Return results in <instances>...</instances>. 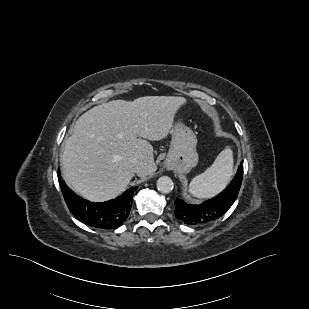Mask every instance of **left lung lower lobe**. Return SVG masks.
<instances>
[{"label":"left lung lower lobe","mask_w":309,"mask_h":309,"mask_svg":"<svg viewBox=\"0 0 309 309\" xmlns=\"http://www.w3.org/2000/svg\"><path fill=\"white\" fill-rule=\"evenodd\" d=\"M243 178V166H239L236 176L229 186L216 197L199 205L186 204L176 199V217L187 225H205L222 217L232 206L239 193Z\"/></svg>","instance_id":"0a47b994"}]
</instances>
